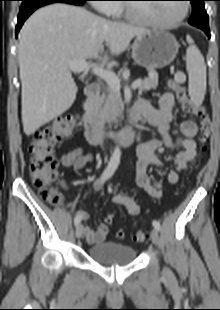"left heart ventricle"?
I'll return each instance as SVG.
<instances>
[{"label":"left heart ventricle","mask_w":220,"mask_h":310,"mask_svg":"<svg viewBox=\"0 0 220 310\" xmlns=\"http://www.w3.org/2000/svg\"><path fill=\"white\" fill-rule=\"evenodd\" d=\"M133 9L138 16L166 22L180 15L182 3L137 4Z\"/></svg>","instance_id":"b2bd125f"}]
</instances>
